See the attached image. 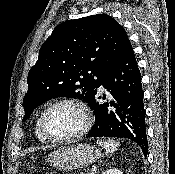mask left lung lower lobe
Instances as JSON below:
<instances>
[{"mask_svg": "<svg viewBox=\"0 0 175 174\" xmlns=\"http://www.w3.org/2000/svg\"><path fill=\"white\" fill-rule=\"evenodd\" d=\"M103 85L112 100L99 104L97 90L89 105L95 114V124L87 137H121L136 142L148 153L145 109L141 74L131 44L115 65L103 76ZM105 99L106 96L104 95Z\"/></svg>", "mask_w": 175, "mask_h": 174, "instance_id": "left-lung-lower-lobe-1", "label": "left lung lower lobe"}]
</instances>
